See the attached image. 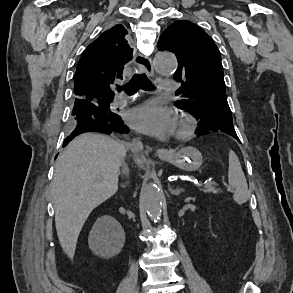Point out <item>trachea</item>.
<instances>
[{"mask_svg": "<svg viewBox=\"0 0 293 293\" xmlns=\"http://www.w3.org/2000/svg\"><path fill=\"white\" fill-rule=\"evenodd\" d=\"M140 88L145 90H152L154 87L149 83L146 74H135L128 84L124 86L127 94H133Z\"/></svg>", "mask_w": 293, "mask_h": 293, "instance_id": "3493384b", "label": "trachea"}]
</instances>
